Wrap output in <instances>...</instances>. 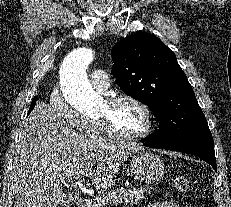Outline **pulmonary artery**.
Here are the masks:
<instances>
[{
	"label": "pulmonary artery",
	"instance_id": "e3ab8cb5",
	"mask_svg": "<svg viewBox=\"0 0 231 207\" xmlns=\"http://www.w3.org/2000/svg\"><path fill=\"white\" fill-rule=\"evenodd\" d=\"M90 81L94 88L99 91H106L110 85V78L103 69H95L90 74Z\"/></svg>",
	"mask_w": 231,
	"mask_h": 207
}]
</instances>
